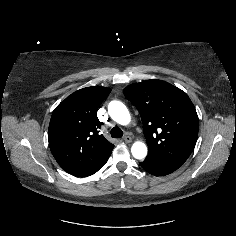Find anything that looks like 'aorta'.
<instances>
[{
	"label": "aorta",
	"mask_w": 236,
	"mask_h": 236,
	"mask_svg": "<svg viewBox=\"0 0 236 236\" xmlns=\"http://www.w3.org/2000/svg\"><path fill=\"white\" fill-rule=\"evenodd\" d=\"M108 113L115 122L121 125H127L131 120L127 107L117 100L109 103ZM131 153L136 159H144L147 155V147L143 142L137 141L132 145Z\"/></svg>",
	"instance_id": "1"
}]
</instances>
